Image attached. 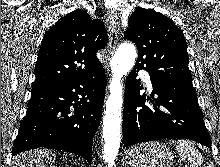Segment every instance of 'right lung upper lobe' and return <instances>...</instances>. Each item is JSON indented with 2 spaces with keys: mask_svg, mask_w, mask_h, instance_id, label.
<instances>
[{
  "mask_svg": "<svg viewBox=\"0 0 220 167\" xmlns=\"http://www.w3.org/2000/svg\"><path fill=\"white\" fill-rule=\"evenodd\" d=\"M107 42L101 20L91 19L85 10L68 13L43 37L32 92L64 85L95 72L102 66L96 53Z\"/></svg>",
  "mask_w": 220,
  "mask_h": 167,
  "instance_id": "cb5924a9",
  "label": "right lung upper lobe"
}]
</instances>
